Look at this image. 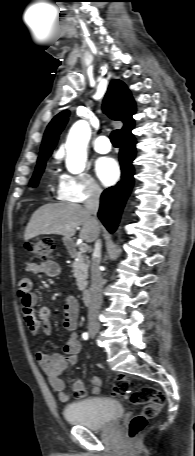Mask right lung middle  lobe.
I'll return each instance as SVG.
<instances>
[{"mask_svg": "<svg viewBox=\"0 0 195 456\" xmlns=\"http://www.w3.org/2000/svg\"><path fill=\"white\" fill-rule=\"evenodd\" d=\"M47 158L48 157H44V158L38 160V164L36 166V170H35L34 175H33L32 179L30 181V183H31V185L33 187H36L37 184H38V181H39V179L41 177V174L44 171L45 163H46Z\"/></svg>", "mask_w": 195, "mask_h": 456, "instance_id": "right-lung-middle-lobe-1", "label": "right lung middle lobe"}]
</instances>
